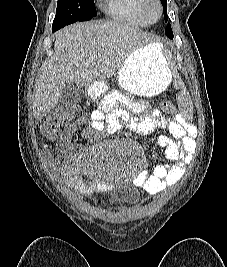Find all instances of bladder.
<instances>
[{
  "instance_id": "31cf9c89",
  "label": "bladder",
  "mask_w": 227,
  "mask_h": 267,
  "mask_svg": "<svg viewBox=\"0 0 227 267\" xmlns=\"http://www.w3.org/2000/svg\"><path fill=\"white\" fill-rule=\"evenodd\" d=\"M123 191L122 199L115 200L114 196H110L108 200L102 203V206L111 210H121L130 208L138 203V197L135 194H129Z\"/></svg>"
}]
</instances>
